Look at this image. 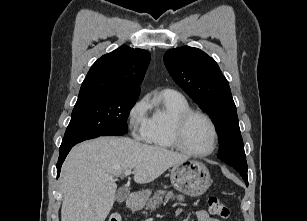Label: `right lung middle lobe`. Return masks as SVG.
Returning <instances> with one entry per match:
<instances>
[{"label":"right lung middle lobe","instance_id":"right-lung-middle-lobe-1","mask_svg":"<svg viewBox=\"0 0 307 221\" xmlns=\"http://www.w3.org/2000/svg\"><path fill=\"white\" fill-rule=\"evenodd\" d=\"M139 94H114L77 101L59 152L99 136L128 132L127 118Z\"/></svg>","mask_w":307,"mask_h":221}]
</instances>
